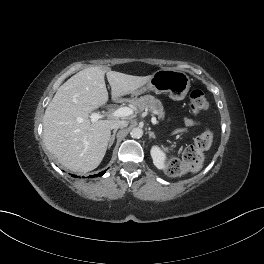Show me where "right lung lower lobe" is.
I'll return each mask as SVG.
<instances>
[{
    "label": "right lung lower lobe",
    "mask_w": 264,
    "mask_h": 264,
    "mask_svg": "<svg viewBox=\"0 0 264 264\" xmlns=\"http://www.w3.org/2000/svg\"><path fill=\"white\" fill-rule=\"evenodd\" d=\"M104 173H105V172H104V171H102V172H100L98 175H93V176H90V178H94L95 176H102ZM75 177H76V176H75Z\"/></svg>",
    "instance_id": "98d812e1"
}]
</instances>
